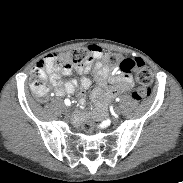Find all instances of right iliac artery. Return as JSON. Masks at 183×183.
<instances>
[{"instance_id": "1", "label": "right iliac artery", "mask_w": 183, "mask_h": 183, "mask_svg": "<svg viewBox=\"0 0 183 183\" xmlns=\"http://www.w3.org/2000/svg\"><path fill=\"white\" fill-rule=\"evenodd\" d=\"M64 102H65V104H66V105H70V100L65 99V101H64Z\"/></svg>"}]
</instances>
